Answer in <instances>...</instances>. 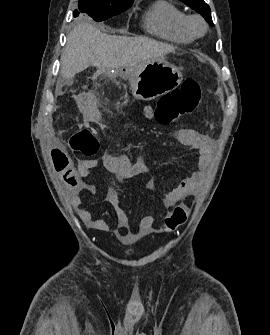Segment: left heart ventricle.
I'll return each instance as SVG.
<instances>
[{"label":"left heart ventricle","mask_w":270,"mask_h":335,"mask_svg":"<svg viewBox=\"0 0 270 335\" xmlns=\"http://www.w3.org/2000/svg\"><path fill=\"white\" fill-rule=\"evenodd\" d=\"M197 29H198V31H200V30H201V28H200L199 26H198V28H197Z\"/></svg>","instance_id":"obj_1"}]
</instances>
